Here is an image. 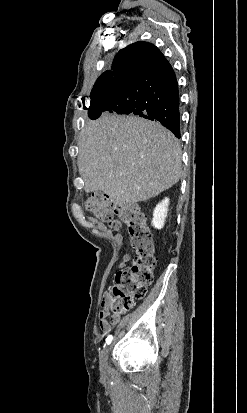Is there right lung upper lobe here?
I'll return each instance as SVG.
<instances>
[{"label":"right lung upper lobe","mask_w":247,"mask_h":413,"mask_svg":"<svg viewBox=\"0 0 247 413\" xmlns=\"http://www.w3.org/2000/svg\"><path fill=\"white\" fill-rule=\"evenodd\" d=\"M169 65L161 51L148 42H136L120 50L111 70L100 75L97 81L125 82L135 72H156Z\"/></svg>","instance_id":"1"}]
</instances>
